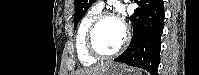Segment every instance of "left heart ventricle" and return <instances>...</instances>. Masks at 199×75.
<instances>
[{
  "mask_svg": "<svg viewBox=\"0 0 199 75\" xmlns=\"http://www.w3.org/2000/svg\"><path fill=\"white\" fill-rule=\"evenodd\" d=\"M124 38V28L116 19H106L97 28L94 35L96 48L103 53L114 51Z\"/></svg>",
  "mask_w": 199,
  "mask_h": 75,
  "instance_id": "b2bd125f",
  "label": "left heart ventricle"
}]
</instances>
